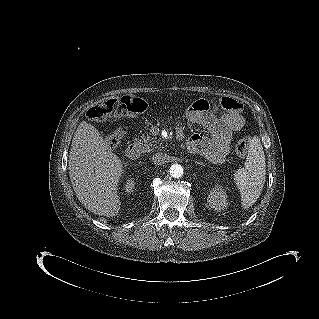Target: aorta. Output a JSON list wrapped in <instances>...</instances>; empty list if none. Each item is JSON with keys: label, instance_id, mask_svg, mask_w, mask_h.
<instances>
[{"label": "aorta", "instance_id": "762f6f07", "mask_svg": "<svg viewBox=\"0 0 319 319\" xmlns=\"http://www.w3.org/2000/svg\"><path fill=\"white\" fill-rule=\"evenodd\" d=\"M183 167L180 164L171 165L169 172L173 178H180L183 175Z\"/></svg>", "mask_w": 319, "mask_h": 319}]
</instances>
